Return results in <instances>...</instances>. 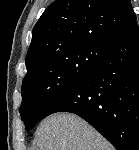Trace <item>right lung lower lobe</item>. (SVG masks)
Returning <instances> with one entry per match:
<instances>
[{"label":"right lung lower lobe","instance_id":"obj_1","mask_svg":"<svg viewBox=\"0 0 139 150\" xmlns=\"http://www.w3.org/2000/svg\"><path fill=\"white\" fill-rule=\"evenodd\" d=\"M56 112L77 114L117 150H139V27L136 20L110 43L78 83L48 107L43 118Z\"/></svg>","mask_w":139,"mask_h":150}]
</instances>
